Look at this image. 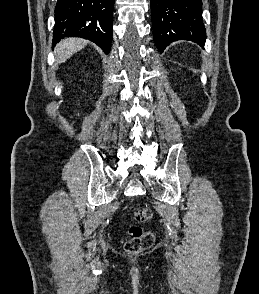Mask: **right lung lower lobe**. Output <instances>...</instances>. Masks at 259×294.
I'll return each mask as SVG.
<instances>
[{
  "instance_id": "obj_1",
  "label": "right lung lower lobe",
  "mask_w": 259,
  "mask_h": 294,
  "mask_svg": "<svg viewBox=\"0 0 259 294\" xmlns=\"http://www.w3.org/2000/svg\"><path fill=\"white\" fill-rule=\"evenodd\" d=\"M114 0H57L53 45L66 37L96 43L108 54L112 41Z\"/></svg>"
}]
</instances>
